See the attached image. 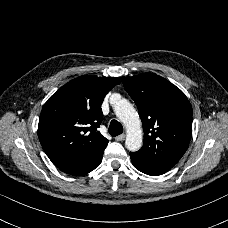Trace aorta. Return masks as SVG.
Segmentation results:
<instances>
[{
	"mask_svg": "<svg viewBox=\"0 0 228 228\" xmlns=\"http://www.w3.org/2000/svg\"><path fill=\"white\" fill-rule=\"evenodd\" d=\"M119 94L114 93L110 97V103L117 118L124 124L127 132L125 146L128 150L135 152L142 147L143 132L141 120L133 105L123 98L114 100Z\"/></svg>",
	"mask_w": 228,
	"mask_h": 228,
	"instance_id": "1",
	"label": "aorta"
}]
</instances>
